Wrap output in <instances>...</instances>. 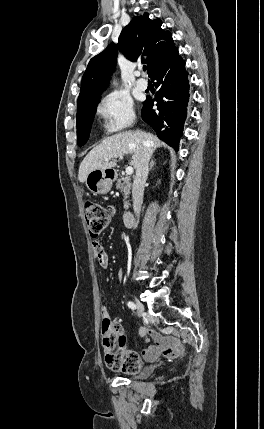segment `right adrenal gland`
<instances>
[{"label":"right adrenal gland","instance_id":"2a0ac1e0","mask_svg":"<svg viewBox=\"0 0 264 429\" xmlns=\"http://www.w3.org/2000/svg\"><path fill=\"white\" fill-rule=\"evenodd\" d=\"M155 165H156L155 160H151L149 170L151 171Z\"/></svg>","mask_w":264,"mask_h":429}]
</instances>
